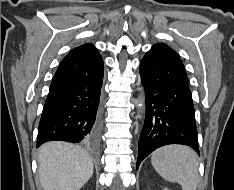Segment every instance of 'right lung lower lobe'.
<instances>
[{
    "label": "right lung lower lobe",
    "mask_w": 234,
    "mask_h": 190,
    "mask_svg": "<svg viewBox=\"0 0 234 190\" xmlns=\"http://www.w3.org/2000/svg\"><path fill=\"white\" fill-rule=\"evenodd\" d=\"M104 64L93 45L70 51L56 71L39 123L37 147L47 141L95 143Z\"/></svg>",
    "instance_id": "right-lung-lower-lobe-1"
}]
</instances>
